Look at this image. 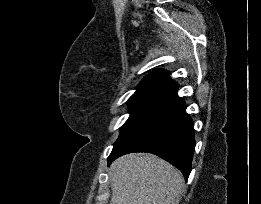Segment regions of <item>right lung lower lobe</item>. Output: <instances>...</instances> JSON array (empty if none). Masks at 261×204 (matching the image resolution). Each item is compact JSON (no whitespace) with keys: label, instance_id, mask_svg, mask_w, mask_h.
Returning <instances> with one entry per match:
<instances>
[{"label":"right lung lower lobe","instance_id":"obj_1","mask_svg":"<svg viewBox=\"0 0 261 204\" xmlns=\"http://www.w3.org/2000/svg\"><path fill=\"white\" fill-rule=\"evenodd\" d=\"M194 147L193 121L186 113L184 100L175 91L114 145L108 162L130 152L152 153L177 167L187 180Z\"/></svg>","mask_w":261,"mask_h":204}]
</instances>
